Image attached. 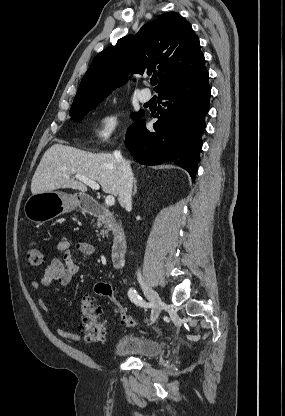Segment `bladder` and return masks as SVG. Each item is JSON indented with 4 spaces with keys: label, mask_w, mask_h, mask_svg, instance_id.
I'll return each instance as SVG.
<instances>
[{
    "label": "bladder",
    "mask_w": 285,
    "mask_h": 416,
    "mask_svg": "<svg viewBox=\"0 0 285 416\" xmlns=\"http://www.w3.org/2000/svg\"><path fill=\"white\" fill-rule=\"evenodd\" d=\"M162 352V343L149 336L124 335L113 346L114 355H126L141 360L156 359Z\"/></svg>",
    "instance_id": "1"
}]
</instances>
